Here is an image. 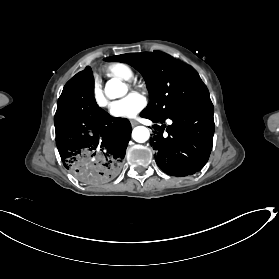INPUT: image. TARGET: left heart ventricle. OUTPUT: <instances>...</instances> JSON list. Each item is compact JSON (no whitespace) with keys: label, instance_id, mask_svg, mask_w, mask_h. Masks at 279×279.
<instances>
[{"label":"left heart ventricle","instance_id":"left-heart-ventricle-1","mask_svg":"<svg viewBox=\"0 0 279 279\" xmlns=\"http://www.w3.org/2000/svg\"><path fill=\"white\" fill-rule=\"evenodd\" d=\"M126 93H127V88H126V91H125L124 95H125ZM124 95H123V96H124Z\"/></svg>","mask_w":279,"mask_h":279}]
</instances>
